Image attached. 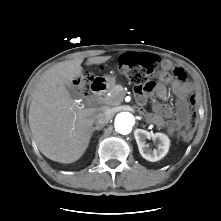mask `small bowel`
<instances>
[{"label":"small bowel","mask_w":221,"mask_h":221,"mask_svg":"<svg viewBox=\"0 0 221 221\" xmlns=\"http://www.w3.org/2000/svg\"><path fill=\"white\" fill-rule=\"evenodd\" d=\"M140 54L150 53L127 52L120 56L119 62L132 60ZM160 66L159 81L150 91H146L141 87L137 88V99L140 103H144L151 96L165 100L167 92L164 84L173 78V89L178 95L175 107L155 102L152 112H146V116L156 125L165 127L170 135H178L189 120L190 103L187 95L191 89V85L188 81L186 71L181 66H176L168 59L162 60Z\"/></svg>","instance_id":"1"}]
</instances>
